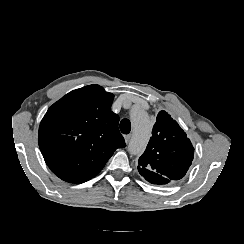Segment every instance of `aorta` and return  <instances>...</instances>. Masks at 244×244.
Segmentation results:
<instances>
[{"instance_id": "aorta-1", "label": "aorta", "mask_w": 244, "mask_h": 244, "mask_svg": "<svg viewBox=\"0 0 244 244\" xmlns=\"http://www.w3.org/2000/svg\"><path fill=\"white\" fill-rule=\"evenodd\" d=\"M134 133L129 143L128 150L131 154H141L149 141L151 124L147 113L141 109H133L130 114Z\"/></svg>"}]
</instances>
